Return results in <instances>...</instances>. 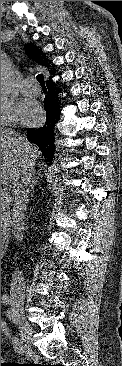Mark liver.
<instances>
[{"mask_svg":"<svg viewBox=\"0 0 122 366\" xmlns=\"http://www.w3.org/2000/svg\"><path fill=\"white\" fill-rule=\"evenodd\" d=\"M41 156L39 148L25 137L1 130V184L12 191L25 166L33 175L36 173L37 160Z\"/></svg>","mask_w":122,"mask_h":366,"instance_id":"obj_1","label":"liver"}]
</instances>
